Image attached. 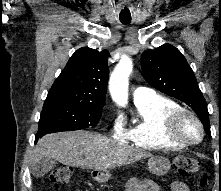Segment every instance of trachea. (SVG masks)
<instances>
[{
  "instance_id": "obj_1",
  "label": "trachea",
  "mask_w": 221,
  "mask_h": 191,
  "mask_svg": "<svg viewBox=\"0 0 221 191\" xmlns=\"http://www.w3.org/2000/svg\"><path fill=\"white\" fill-rule=\"evenodd\" d=\"M122 24H129L131 21L130 20H120Z\"/></svg>"
}]
</instances>
